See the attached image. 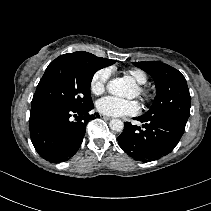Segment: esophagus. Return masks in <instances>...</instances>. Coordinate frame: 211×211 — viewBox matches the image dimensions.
I'll use <instances>...</instances> for the list:
<instances>
[{
  "instance_id": "obj_1",
  "label": "esophagus",
  "mask_w": 211,
  "mask_h": 211,
  "mask_svg": "<svg viewBox=\"0 0 211 211\" xmlns=\"http://www.w3.org/2000/svg\"><path fill=\"white\" fill-rule=\"evenodd\" d=\"M101 116H102L103 119H106V120L112 119V117H110V116H106V115H101Z\"/></svg>"
}]
</instances>
